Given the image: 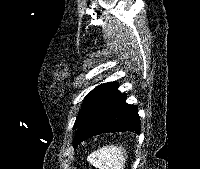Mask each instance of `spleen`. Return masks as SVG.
I'll use <instances>...</instances> for the list:
<instances>
[{
  "label": "spleen",
  "instance_id": "spleen-1",
  "mask_svg": "<svg viewBox=\"0 0 200 169\" xmlns=\"http://www.w3.org/2000/svg\"><path fill=\"white\" fill-rule=\"evenodd\" d=\"M126 158L124 148L110 145L94 151L87 160L98 169H124Z\"/></svg>",
  "mask_w": 200,
  "mask_h": 169
}]
</instances>
